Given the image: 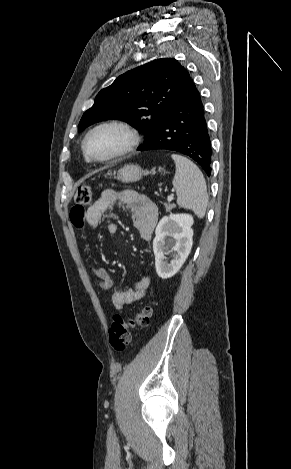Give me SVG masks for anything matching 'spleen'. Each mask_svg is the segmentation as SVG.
Listing matches in <instances>:
<instances>
[{
  "mask_svg": "<svg viewBox=\"0 0 291 469\" xmlns=\"http://www.w3.org/2000/svg\"><path fill=\"white\" fill-rule=\"evenodd\" d=\"M176 171L173 187L177 194V204L192 210L198 218H203L208 205L205 178L200 169L188 158L173 154Z\"/></svg>",
  "mask_w": 291,
  "mask_h": 469,
  "instance_id": "3e777b00",
  "label": "spleen"
}]
</instances>
